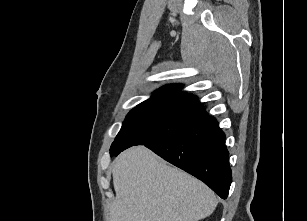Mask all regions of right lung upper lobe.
<instances>
[{
    "instance_id": "cb5924a9",
    "label": "right lung upper lobe",
    "mask_w": 307,
    "mask_h": 221,
    "mask_svg": "<svg viewBox=\"0 0 307 221\" xmlns=\"http://www.w3.org/2000/svg\"><path fill=\"white\" fill-rule=\"evenodd\" d=\"M182 85H166L154 92V95L144 102H176L201 107L196 96L181 94Z\"/></svg>"
}]
</instances>
